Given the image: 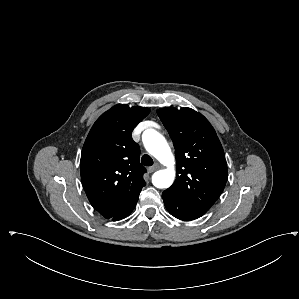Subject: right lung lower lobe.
<instances>
[{
	"label": "right lung lower lobe",
	"mask_w": 299,
	"mask_h": 299,
	"mask_svg": "<svg viewBox=\"0 0 299 299\" xmlns=\"http://www.w3.org/2000/svg\"><path fill=\"white\" fill-rule=\"evenodd\" d=\"M137 201H138V199L135 200L130 206H128L122 212H120L116 216L112 217L111 219L113 221H118V220H121V219L125 218L126 216H128L133 211V209L135 208Z\"/></svg>",
	"instance_id": "right-lung-lower-lobe-1"
}]
</instances>
